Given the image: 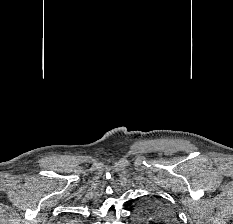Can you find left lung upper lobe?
Returning a JSON list of instances; mask_svg holds the SVG:
<instances>
[{"instance_id":"1","label":"left lung upper lobe","mask_w":233,"mask_h":224,"mask_svg":"<svg viewBox=\"0 0 233 224\" xmlns=\"http://www.w3.org/2000/svg\"><path fill=\"white\" fill-rule=\"evenodd\" d=\"M139 216L147 224H176L173 210L156 198L143 201L138 207Z\"/></svg>"}]
</instances>
